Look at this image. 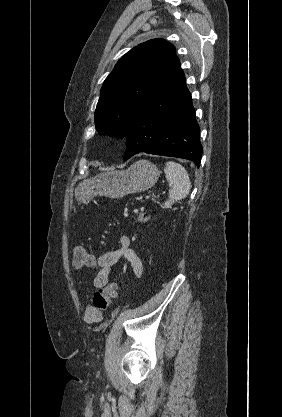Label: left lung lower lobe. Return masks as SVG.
Segmentation results:
<instances>
[{
	"mask_svg": "<svg viewBox=\"0 0 282 417\" xmlns=\"http://www.w3.org/2000/svg\"><path fill=\"white\" fill-rule=\"evenodd\" d=\"M191 94L179 61L133 113L123 160L145 152L192 160L200 165L202 146Z\"/></svg>",
	"mask_w": 282,
	"mask_h": 417,
	"instance_id": "obj_1",
	"label": "left lung lower lobe"
}]
</instances>
